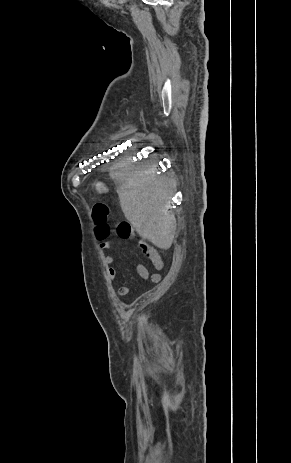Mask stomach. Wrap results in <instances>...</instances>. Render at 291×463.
<instances>
[{
  "mask_svg": "<svg viewBox=\"0 0 291 463\" xmlns=\"http://www.w3.org/2000/svg\"><path fill=\"white\" fill-rule=\"evenodd\" d=\"M95 189L97 192L102 193L107 191V187L105 186L104 183L102 182H96L95 183Z\"/></svg>",
  "mask_w": 291,
  "mask_h": 463,
  "instance_id": "0dacf381",
  "label": "stomach"
}]
</instances>
